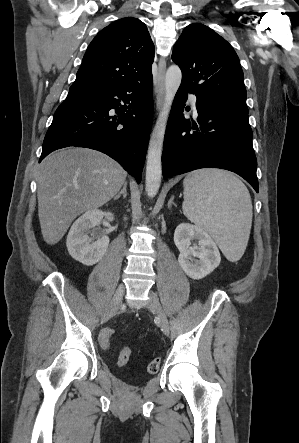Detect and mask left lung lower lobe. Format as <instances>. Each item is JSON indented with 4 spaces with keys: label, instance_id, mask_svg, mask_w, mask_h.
<instances>
[{
    "label": "left lung lower lobe",
    "instance_id": "1",
    "mask_svg": "<svg viewBox=\"0 0 299 443\" xmlns=\"http://www.w3.org/2000/svg\"><path fill=\"white\" fill-rule=\"evenodd\" d=\"M188 92L193 93L181 84L172 105L162 154L163 176L221 168L237 173L258 192L248 114L225 110L197 97L198 123H191L183 114Z\"/></svg>",
    "mask_w": 299,
    "mask_h": 443
}]
</instances>
